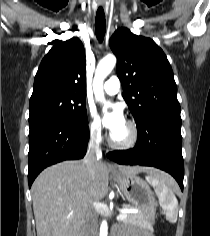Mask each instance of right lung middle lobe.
Returning <instances> with one entry per match:
<instances>
[{"label":"right lung middle lobe","instance_id":"right-lung-middle-lobe-1","mask_svg":"<svg viewBox=\"0 0 210 236\" xmlns=\"http://www.w3.org/2000/svg\"><path fill=\"white\" fill-rule=\"evenodd\" d=\"M29 110V125L49 119L87 122L85 96L49 94L30 101Z\"/></svg>","mask_w":210,"mask_h":236}]
</instances>
